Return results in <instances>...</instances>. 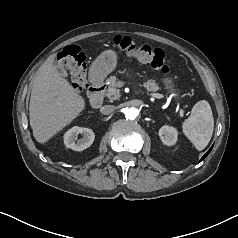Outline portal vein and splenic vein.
<instances>
[{
	"mask_svg": "<svg viewBox=\"0 0 238 238\" xmlns=\"http://www.w3.org/2000/svg\"><path fill=\"white\" fill-rule=\"evenodd\" d=\"M149 95H150L151 97L158 98V99L162 98V95H161V94H158V93H150ZM179 112H180V115L182 116V115H183V111L180 110Z\"/></svg>",
	"mask_w": 238,
	"mask_h": 238,
	"instance_id": "obj_1",
	"label": "portal vein and splenic vein"
}]
</instances>
